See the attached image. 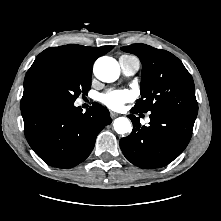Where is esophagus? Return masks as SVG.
<instances>
[{
    "instance_id": "esophagus-1",
    "label": "esophagus",
    "mask_w": 221,
    "mask_h": 221,
    "mask_svg": "<svg viewBox=\"0 0 221 221\" xmlns=\"http://www.w3.org/2000/svg\"><path fill=\"white\" fill-rule=\"evenodd\" d=\"M110 115H111L112 118H115V117L119 116L118 113L113 112V111H110Z\"/></svg>"
}]
</instances>
